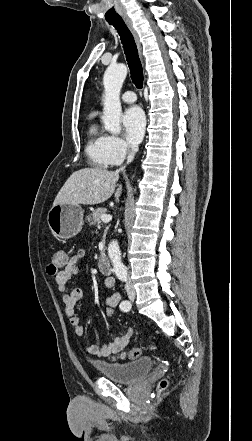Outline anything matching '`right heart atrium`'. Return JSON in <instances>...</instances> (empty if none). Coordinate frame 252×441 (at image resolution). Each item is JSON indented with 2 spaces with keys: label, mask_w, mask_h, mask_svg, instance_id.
<instances>
[{
  "label": "right heart atrium",
  "mask_w": 252,
  "mask_h": 441,
  "mask_svg": "<svg viewBox=\"0 0 252 441\" xmlns=\"http://www.w3.org/2000/svg\"><path fill=\"white\" fill-rule=\"evenodd\" d=\"M106 151L112 165L122 163L132 154V149L118 136H106Z\"/></svg>",
  "instance_id": "d8ad5b80"
}]
</instances>
